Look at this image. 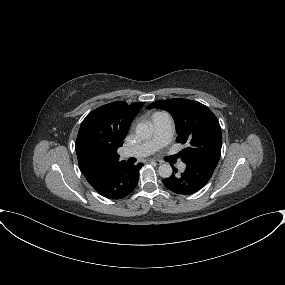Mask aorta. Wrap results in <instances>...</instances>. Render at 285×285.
Here are the masks:
<instances>
[{"mask_svg":"<svg viewBox=\"0 0 285 285\" xmlns=\"http://www.w3.org/2000/svg\"><path fill=\"white\" fill-rule=\"evenodd\" d=\"M153 127L147 124H138L135 130L136 136L141 140H148L153 135ZM173 169L170 164H161L158 168V173L162 178H169L172 175Z\"/></svg>","mask_w":285,"mask_h":285,"instance_id":"762f6f07","label":"aorta"}]
</instances>
